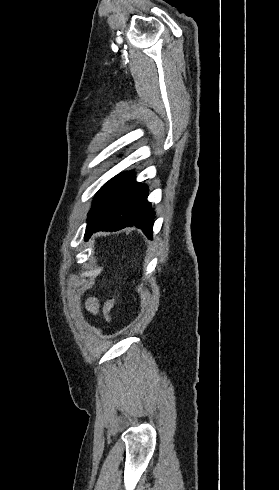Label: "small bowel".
Here are the masks:
<instances>
[{
  "label": "small bowel",
  "mask_w": 279,
  "mask_h": 490,
  "mask_svg": "<svg viewBox=\"0 0 279 490\" xmlns=\"http://www.w3.org/2000/svg\"><path fill=\"white\" fill-rule=\"evenodd\" d=\"M86 307L90 313L95 314L98 309L97 301L95 299H89Z\"/></svg>",
  "instance_id": "obj_1"
}]
</instances>
